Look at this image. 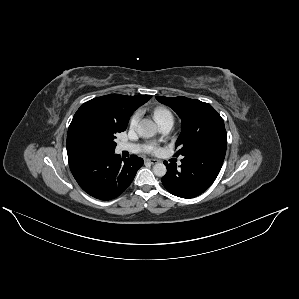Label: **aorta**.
Segmentation results:
<instances>
[{"mask_svg":"<svg viewBox=\"0 0 299 299\" xmlns=\"http://www.w3.org/2000/svg\"><path fill=\"white\" fill-rule=\"evenodd\" d=\"M157 130V125L150 119H142L137 127L139 135L144 138L153 137ZM153 172L156 176L163 177L167 172V168L163 163H156L153 166Z\"/></svg>","mask_w":299,"mask_h":299,"instance_id":"762f6f07","label":"aorta"}]
</instances>
